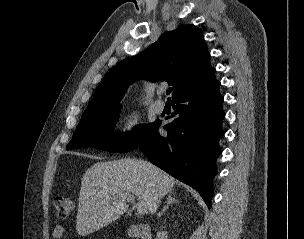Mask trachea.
I'll return each instance as SVG.
<instances>
[{
	"mask_svg": "<svg viewBox=\"0 0 304 239\" xmlns=\"http://www.w3.org/2000/svg\"><path fill=\"white\" fill-rule=\"evenodd\" d=\"M171 91H172V88H168L166 91V94L169 95L171 93Z\"/></svg>",
	"mask_w": 304,
	"mask_h": 239,
	"instance_id": "obj_1",
	"label": "trachea"
}]
</instances>
